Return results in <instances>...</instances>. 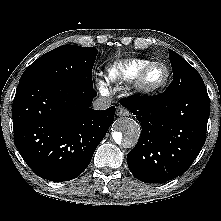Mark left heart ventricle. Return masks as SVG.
<instances>
[{"label":"left heart ventricle","mask_w":221,"mask_h":221,"mask_svg":"<svg viewBox=\"0 0 221 221\" xmlns=\"http://www.w3.org/2000/svg\"><path fill=\"white\" fill-rule=\"evenodd\" d=\"M165 74V69L162 66H156L148 73L146 81L148 84H158L164 79Z\"/></svg>","instance_id":"left-heart-ventricle-1"}]
</instances>
